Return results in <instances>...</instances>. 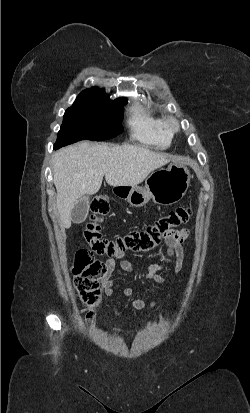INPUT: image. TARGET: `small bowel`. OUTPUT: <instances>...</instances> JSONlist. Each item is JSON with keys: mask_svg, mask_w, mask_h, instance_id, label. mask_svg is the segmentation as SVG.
I'll return each mask as SVG.
<instances>
[{"mask_svg": "<svg viewBox=\"0 0 250 413\" xmlns=\"http://www.w3.org/2000/svg\"><path fill=\"white\" fill-rule=\"evenodd\" d=\"M164 242L166 246L165 258L168 261H174V275L178 274L184 264V244L188 238L189 231L187 229H165L163 232ZM124 253H117L112 257L108 258L103 264L105 266V274L101 278V284L104 290V293L108 297L114 296H124L131 297L133 292L130 288H125L120 292H117L114 288V282L111 278L113 271L115 270L117 261L119 262L120 267L127 271L132 272L133 266L131 263L123 259ZM165 269L163 264L154 263L151 264L144 273V278L147 280H153L157 283H164L166 278L160 275V272ZM156 302H151L150 306H154ZM131 305L136 310L144 309L147 306V302L144 299L137 298L131 301ZM114 314L125 320L133 319V316H125L119 312L118 309H113ZM86 321L89 325H93L95 322V312L90 311L86 314ZM112 331L115 333H123L119 328H112Z\"/></svg>", "mask_w": 250, "mask_h": 413, "instance_id": "obj_1", "label": "small bowel"}]
</instances>
